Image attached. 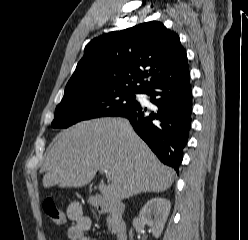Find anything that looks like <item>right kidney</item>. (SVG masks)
I'll use <instances>...</instances> for the list:
<instances>
[{"mask_svg":"<svg viewBox=\"0 0 248 240\" xmlns=\"http://www.w3.org/2000/svg\"><path fill=\"white\" fill-rule=\"evenodd\" d=\"M171 203L169 200L161 197L150 199L141 209L139 220L142 225L147 224L150 232L155 238H159L167 221ZM130 240H133L132 230L129 233Z\"/></svg>","mask_w":248,"mask_h":240,"instance_id":"obj_1","label":"right kidney"}]
</instances>
